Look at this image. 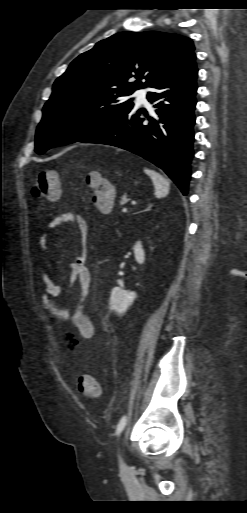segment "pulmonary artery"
<instances>
[{
    "instance_id": "e3ab8cb5",
    "label": "pulmonary artery",
    "mask_w": 247,
    "mask_h": 513,
    "mask_svg": "<svg viewBox=\"0 0 247 513\" xmlns=\"http://www.w3.org/2000/svg\"><path fill=\"white\" fill-rule=\"evenodd\" d=\"M148 93L147 88H141L135 92L136 98L139 102H145Z\"/></svg>"
}]
</instances>
